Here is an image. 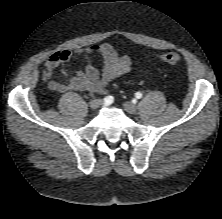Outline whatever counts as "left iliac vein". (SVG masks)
I'll return each mask as SVG.
<instances>
[{
	"label": "left iliac vein",
	"instance_id": "1",
	"mask_svg": "<svg viewBox=\"0 0 222 219\" xmlns=\"http://www.w3.org/2000/svg\"><path fill=\"white\" fill-rule=\"evenodd\" d=\"M123 107L130 114H136L138 111V107L131 102H124Z\"/></svg>",
	"mask_w": 222,
	"mask_h": 219
}]
</instances>
